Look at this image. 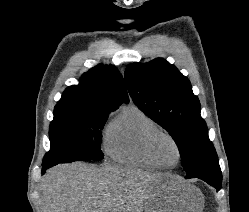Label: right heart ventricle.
Returning a JSON list of instances; mask_svg holds the SVG:
<instances>
[{"label":"right heart ventricle","instance_id":"obj_1","mask_svg":"<svg viewBox=\"0 0 249 212\" xmlns=\"http://www.w3.org/2000/svg\"><path fill=\"white\" fill-rule=\"evenodd\" d=\"M160 130L139 106L128 105L109 123L105 133L106 154L116 162L148 170L159 169L148 155L149 136Z\"/></svg>","mask_w":249,"mask_h":212}]
</instances>
